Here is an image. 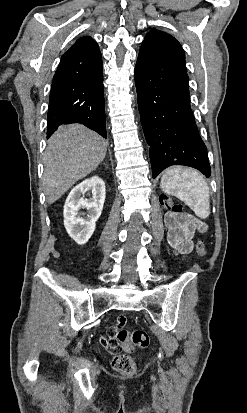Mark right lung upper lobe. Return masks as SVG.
Here are the masks:
<instances>
[{
  "instance_id": "1",
  "label": "right lung upper lobe",
  "mask_w": 247,
  "mask_h": 413,
  "mask_svg": "<svg viewBox=\"0 0 247 413\" xmlns=\"http://www.w3.org/2000/svg\"><path fill=\"white\" fill-rule=\"evenodd\" d=\"M102 63L98 44L89 36L78 39L62 56L58 69H82Z\"/></svg>"
}]
</instances>
